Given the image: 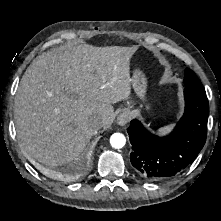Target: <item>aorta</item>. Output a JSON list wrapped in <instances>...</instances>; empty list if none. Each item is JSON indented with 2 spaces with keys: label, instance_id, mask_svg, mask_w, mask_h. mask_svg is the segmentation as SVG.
Instances as JSON below:
<instances>
[{
  "label": "aorta",
  "instance_id": "obj_1",
  "mask_svg": "<svg viewBox=\"0 0 221 221\" xmlns=\"http://www.w3.org/2000/svg\"><path fill=\"white\" fill-rule=\"evenodd\" d=\"M126 143V138L122 133H114L110 137V144L115 149H120L124 147Z\"/></svg>",
  "mask_w": 221,
  "mask_h": 221
}]
</instances>
